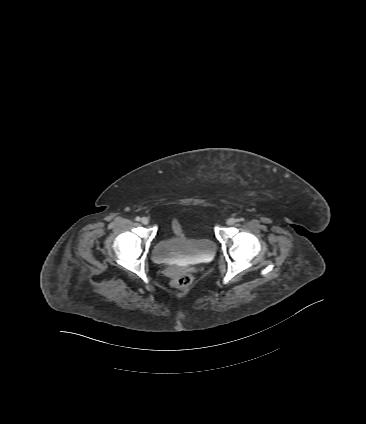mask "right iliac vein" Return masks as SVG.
<instances>
[{"label":"right iliac vein","mask_w":366,"mask_h":424,"mask_svg":"<svg viewBox=\"0 0 366 424\" xmlns=\"http://www.w3.org/2000/svg\"><path fill=\"white\" fill-rule=\"evenodd\" d=\"M141 222H142L144 225H147V224L149 223V218H147V217H143V218L141 219Z\"/></svg>","instance_id":"63e3f726"}]
</instances>
